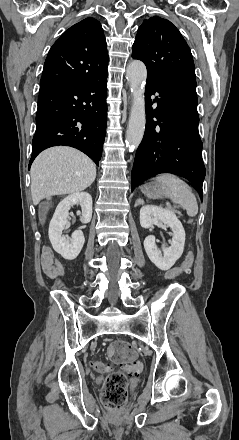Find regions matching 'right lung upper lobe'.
I'll use <instances>...</instances> for the list:
<instances>
[{"instance_id":"obj_1","label":"right lung upper lobe","mask_w":239,"mask_h":440,"mask_svg":"<svg viewBox=\"0 0 239 440\" xmlns=\"http://www.w3.org/2000/svg\"><path fill=\"white\" fill-rule=\"evenodd\" d=\"M107 66L101 24L86 18L66 30L51 47L40 86L90 80L107 73Z\"/></svg>"}]
</instances>
